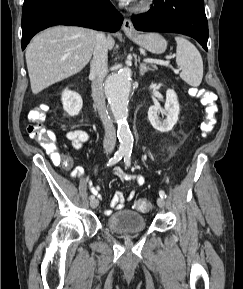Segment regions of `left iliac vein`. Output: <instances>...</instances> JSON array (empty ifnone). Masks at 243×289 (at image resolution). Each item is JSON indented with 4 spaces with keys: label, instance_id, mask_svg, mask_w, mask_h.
I'll use <instances>...</instances> for the list:
<instances>
[{
    "label": "left iliac vein",
    "instance_id": "4c4485c4",
    "mask_svg": "<svg viewBox=\"0 0 243 289\" xmlns=\"http://www.w3.org/2000/svg\"><path fill=\"white\" fill-rule=\"evenodd\" d=\"M157 205H158L160 208H164V206H165V200H164L163 198L159 197V198L157 199Z\"/></svg>",
    "mask_w": 243,
    "mask_h": 289
}]
</instances>
